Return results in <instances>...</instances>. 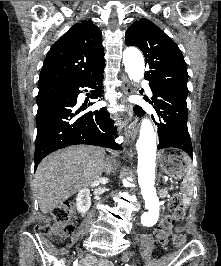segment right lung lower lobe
Returning <instances> with one entry per match:
<instances>
[{"instance_id":"obj_1","label":"right lung lower lobe","mask_w":221,"mask_h":266,"mask_svg":"<svg viewBox=\"0 0 221 266\" xmlns=\"http://www.w3.org/2000/svg\"><path fill=\"white\" fill-rule=\"evenodd\" d=\"M102 81L103 69L38 105L35 170L49 153L70 145L89 144L120 149V145L114 141L117 128L113 126L106 109L83 113L87 104H77L80 87L96 88L92 98L102 97Z\"/></svg>"}]
</instances>
